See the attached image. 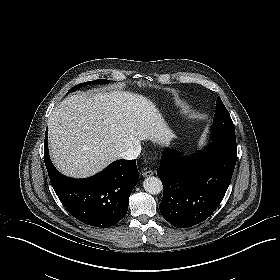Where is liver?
<instances>
[{
	"label": "liver",
	"mask_w": 280,
	"mask_h": 280,
	"mask_svg": "<svg viewBox=\"0 0 280 280\" xmlns=\"http://www.w3.org/2000/svg\"><path fill=\"white\" fill-rule=\"evenodd\" d=\"M172 136L155 105L126 91L65 98L48 119L51 159L66 176H92L143 140L166 144Z\"/></svg>",
	"instance_id": "1"
}]
</instances>
